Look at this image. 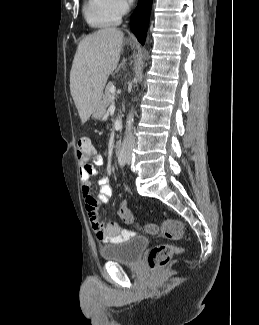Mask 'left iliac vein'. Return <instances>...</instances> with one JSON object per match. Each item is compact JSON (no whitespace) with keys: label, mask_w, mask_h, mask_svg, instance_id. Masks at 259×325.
<instances>
[{"label":"left iliac vein","mask_w":259,"mask_h":325,"mask_svg":"<svg viewBox=\"0 0 259 325\" xmlns=\"http://www.w3.org/2000/svg\"><path fill=\"white\" fill-rule=\"evenodd\" d=\"M127 163H128V164L131 163V155H130V154H128V156H127Z\"/></svg>","instance_id":"4c4485c4"}]
</instances>
